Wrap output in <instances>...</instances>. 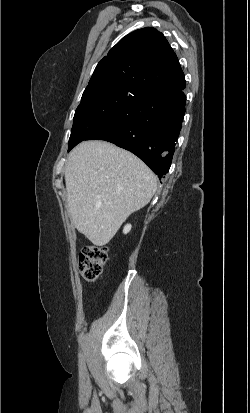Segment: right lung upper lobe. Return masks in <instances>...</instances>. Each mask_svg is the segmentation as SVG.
Returning a JSON list of instances; mask_svg holds the SVG:
<instances>
[{"instance_id": "cb5924a9", "label": "right lung upper lobe", "mask_w": 250, "mask_h": 413, "mask_svg": "<svg viewBox=\"0 0 250 413\" xmlns=\"http://www.w3.org/2000/svg\"><path fill=\"white\" fill-rule=\"evenodd\" d=\"M184 82L178 58L164 35L146 27L126 35L109 51L86 88L122 85L146 93Z\"/></svg>"}]
</instances>
